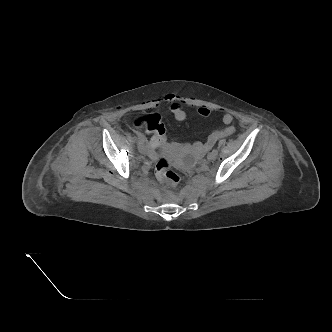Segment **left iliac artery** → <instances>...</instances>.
Masks as SVG:
<instances>
[{
    "label": "left iliac artery",
    "instance_id": "44dca946",
    "mask_svg": "<svg viewBox=\"0 0 332 332\" xmlns=\"http://www.w3.org/2000/svg\"><path fill=\"white\" fill-rule=\"evenodd\" d=\"M215 155H217L218 154V150L217 149H213V151H212Z\"/></svg>",
    "mask_w": 332,
    "mask_h": 332
}]
</instances>
